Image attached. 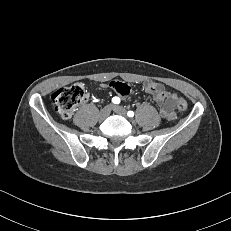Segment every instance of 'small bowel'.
<instances>
[{
  "label": "small bowel",
  "mask_w": 231,
  "mask_h": 231,
  "mask_svg": "<svg viewBox=\"0 0 231 231\" xmlns=\"http://www.w3.org/2000/svg\"><path fill=\"white\" fill-rule=\"evenodd\" d=\"M110 87L121 96L128 95L130 91L129 86L121 82H111ZM144 88L146 92L150 94L159 104L161 116L166 120H173L176 117L173 105L176 95L166 91L161 83L154 81H146L144 83Z\"/></svg>",
  "instance_id": "c3829d8e"
}]
</instances>
